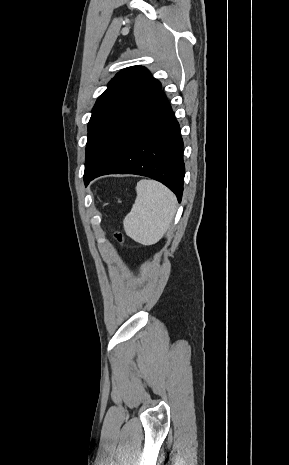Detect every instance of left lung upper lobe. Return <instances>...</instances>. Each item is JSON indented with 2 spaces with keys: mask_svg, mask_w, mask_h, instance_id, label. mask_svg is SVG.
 Returning a JSON list of instances; mask_svg holds the SVG:
<instances>
[{
  "mask_svg": "<svg viewBox=\"0 0 289 465\" xmlns=\"http://www.w3.org/2000/svg\"><path fill=\"white\" fill-rule=\"evenodd\" d=\"M160 90L161 83L141 66L123 69L109 82L88 123L84 181Z\"/></svg>",
  "mask_w": 289,
  "mask_h": 465,
  "instance_id": "1",
  "label": "left lung upper lobe"
}]
</instances>
